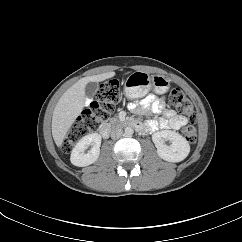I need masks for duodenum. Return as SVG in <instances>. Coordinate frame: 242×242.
Segmentation results:
<instances>
[{
  "label": "duodenum",
  "mask_w": 242,
  "mask_h": 242,
  "mask_svg": "<svg viewBox=\"0 0 242 242\" xmlns=\"http://www.w3.org/2000/svg\"><path fill=\"white\" fill-rule=\"evenodd\" d=\"M125 124L128 125V126H130V127H136V123L133 122V121H127ZM110 131H111L110 126L105 125V126L102 127V129L100 130V135H101L103 138H107V137H109Z\"/></svg>",
  "instance_id": "410a0bca"
}]
</instances>
